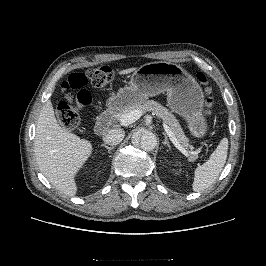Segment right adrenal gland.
Listing matches in <instances>:
<instances>
[{"mask_svg": "<svg viewBox=\"0 0 266 266\" xmlns=\"http://www.w3.org/2000/svg\"><path fill=\"white\" fill-rule=\"evenodd\" d=\"M101 146L104 147L105 149H107L108 152H110L112 149H114L113 146H108V145H106V144H102Z\"/></svg>", "mask_w": 266, "mask_h": 266, "instance_id": "right-adrenal-gland-1", "label": "right adrenal gland"}]
</instances>
